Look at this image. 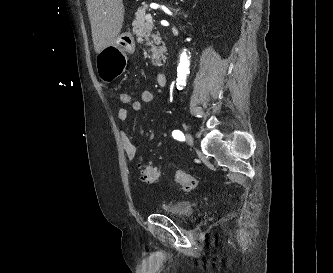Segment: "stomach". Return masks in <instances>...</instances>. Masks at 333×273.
<instances>
[{
	"label": "stomach",
	"instance_id": "obj_1",
	"mask_svg": "<svg viewBox=\"0 0 333 273\" xmlns=\"http://www.w3.org/2000/svg\"><path fill=\"white\" fill-rule=\"evenodd\" d=\"M135 51L134 37L130 32L118 35L113 44L97 53L96 67L99 77L111 82L122 70H126V54Z\"/></svg>",
	"mask_w": 333,
	"mask_h": 273
}]
</instances>
